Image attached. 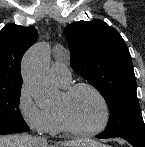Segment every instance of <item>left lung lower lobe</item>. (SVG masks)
<instances>
[{
	"mask_svg": "<svg viewBox=\"0 0 145 147\" xmlns=\"http://www.w3.org/2000/svg\"><path fill=\"white\" fill-rule=\"evenodd\" d=\"M96 137L100 138V139L112 138V136L104 135L103 133L97 135ZM120 137H122L126 141H128L133 147H145V140L144 139L135 138V137H128V136H120Z\"/></svg>",
	"mask_w": 145,
	"mask_h": 147,
	"instance_id": "left-lung-lower-lobe-1",
	"label": "left lung lower lobe"
}]
</instances>
